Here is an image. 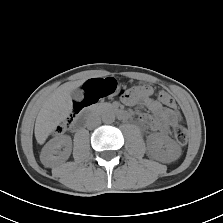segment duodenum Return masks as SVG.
<instances>
[{"label": "duodenum", "instance_id": "duodenum-1", "mask_svg": "<svg viewBox=\"0 0 223 223\" xmlns=\"http://www.w3.org/2000/svg\"><path fill=\"white\" fill-rule=\"evenodd\" d=\"M105 109L114 111L118 115V117L121 119L129 118L128 114L124 110L120 109L118 106H115V105L105 106ZM91 116H92V113H89L86 117H80L79 119H77V121L75 123V127L81 128L83 125H85L90 120Z\"/></svg>", "mask_w": 223, "mask_h": 223}]
</instances>
